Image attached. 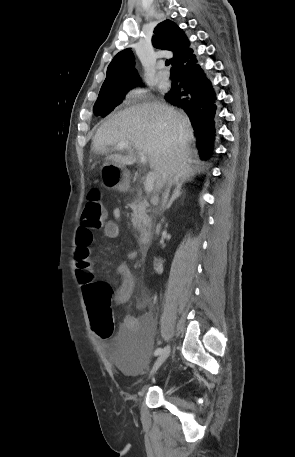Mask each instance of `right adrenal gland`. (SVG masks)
Segmentation results:
<instances>
[{
    "mask_svg": "<svg viewBox=\"0 0 295 457\" xmlns=\"http://www.w3.org/2000/svg\"><path fill=\"white\" fill-rule=\"evenodd\" d=\"M187 181H190V179H180L178 182H176V188L172 194V196L170 197L166 207L167 208H170L173 204V202L184 192L182 190V186L187 182Z\"/></svg>",
    "mask_w": 295,
    "mask_h": 457,
    "instance_id": "right-adrenal-gland-1",
    "label": "right adrenal gland"
}]
</instances>
